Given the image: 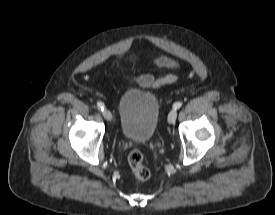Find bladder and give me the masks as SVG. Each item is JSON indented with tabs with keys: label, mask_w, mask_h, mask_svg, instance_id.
I'll return each mask as SVG.
<instances>
[{
	"label": "bladder",
	"mask_w": 275,
	"mask_h": 215,
	"mask_svg": "<svg viewBox=\"0 0 275 215\" xmlns=\"http://www.w3.org/2000/svg\"><path fill=\"white\" fill-rule=\"evenodd\" d=\"M122 136L130 142L147 143L156 131L160 106L155 94L128 89L118 102Z\"/></svg>",
	"instance_id": "1"
}]
</instances>
